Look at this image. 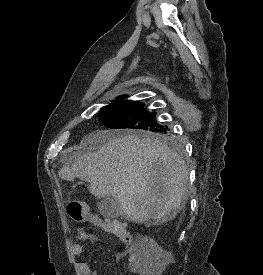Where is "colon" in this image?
Masks as SVG:
<instances>
[{
  "label": "colon",
  "mask_w": 263,
  "mask_h": 275,
  "mask_svg": "<svg viewBox=\"0 0 263 275\" xmlns=\"http://www.w3.org/2000/svg\"><path fill=\"white\" fill-rule=\"evenodd\" d=\"M68 213L72 219L78 222H94L96 217L91 214L88 208L80 202H73L68 205ZM105 230L115 235L123 243L127 245L132 244V236L126 226L119 221H111L107 224ZM164 263V255L159 250L151 251L145 259V270L146 275H156L159 268Z\"/></svg>",
  "instance_id": "5ec220e1"
}]
</instances>
